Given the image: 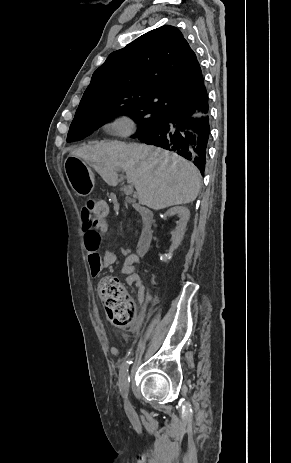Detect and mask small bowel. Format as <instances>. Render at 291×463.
I'll return each mask as SVG.
<instances>
[{"mask_svg": "<svg viewBox=\"0 0 291 463\" xmlns=\"http://www.w3.org/2000/svg\"><path fill=\"white\" fill-rule=\"evenodd\" d=\"M106 219L107 217H97L95 228L85 229L83 233V248L87 255L89 273L93 278L99 277L103 269L112 267L117 261V256L112 251H106L102 255L99 253L102 235L108 229ZM136 261L137 255L135 253H128L125 259L123 272L126 275V284L136 287L138 300L142 303L144 298V286L139 276L134 272V264ZM111 354L118 356L120 354V348L118 346H113L111 348Z\"/></svg>", "mask_w": 291, "mask_h": 463, "instance_id": "obj_1", "label": "small bowel"}]
</instances>
